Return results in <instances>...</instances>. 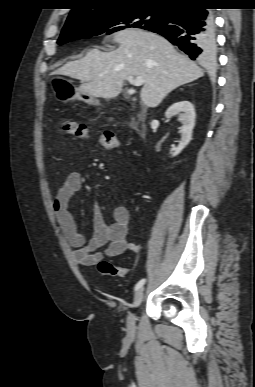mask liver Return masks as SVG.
I'll return each mask as SVG.
<instances>
[{"mask_svg":"<svg viewBox=\"0 0 255 387\" xmlns=\"http://www.w3.org/2000/svg\"><path fill=\"white\" fill-rule=\"evenodd\" d=\"M119 47L111 52L91 49L80 60L70 61L58 74L81 81L77 91L92 97H117L129 77H143L140 98L144 105L157 107L177 87L204 75L188 57L178 53L164 37L142 29L114 34Z\"/></svg>","mask_w":255,"mask_h":387,"instance_id":"liver-1","label":"liver"}]
</instances>
